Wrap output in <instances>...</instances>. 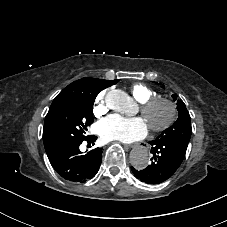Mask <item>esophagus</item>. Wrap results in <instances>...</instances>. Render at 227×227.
Returning <instances> with one entry per match:
<instances>
[{
  "mask_svg": "<svg viewBox=\"0 0 227 227\" xmlns=\"http://www.w3.org/2000/svg\"><path fill=\"white\" fill-rule=\"evenodd\" d=\"M142 149H144L145 151H151L152 145L150 143H147V142H142V143L135 145L136 151H141Z\"/></svg>",
  "mask_w": 227,
  "mask_h": 227,
  "instance_id": "34e87169",
  "label": "esophagus"
}]
</instances>
